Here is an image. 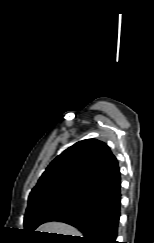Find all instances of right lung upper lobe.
I'll list each match as a JSON object with an SVG mask.
<instances>
[{"label": "right lung upper lobe", "mask_w": 154, "mask_h": 243, "mask_svg": "<svg viewBox=\"0 0 154 243\" xmlns=\"http://www.w3.org/2000/svg\"><path fill=\"white\" fill-rule=\"evenodd\" d=\"M120 170L109 147L98 140L75 143L57 156L32 189L29 200L69 196L85 201L120 181Z\"/></svg>", "instance_id": "1"}]
</instances>
